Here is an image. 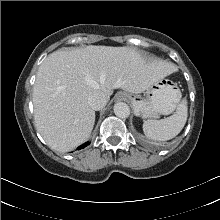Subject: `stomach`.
I'll return each mask as SVG.
<instances>
[{
    "mask_svg": "<svg viewBox=\"0 0 220 220\" xmlns=\"http://www.w3.org/2000/svg\"><path fill=\"white\" fill-rule=\"evenodd\" d=\"M135 114L144 119L169 115L177 108L181 93L176 84L169 79H160L146 91V100L128 95Z\"/></svg>",
    "mask_w": 220,
    "mask_h": 220,
    "instance_id": "1",
    "label": "stomach"
}]
</instances>
